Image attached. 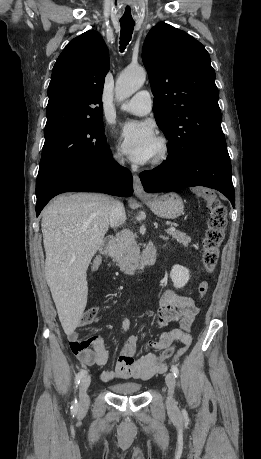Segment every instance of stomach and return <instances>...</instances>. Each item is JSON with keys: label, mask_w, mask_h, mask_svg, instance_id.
Here are the masks:
<instances>
[{"label": "stomach", "mask_w": 261, "mask_h": 459, "mask_svg": "<svg viewBox=\"0 0 261 459\" xmlns=\"http://www.w3.org/2000/svg\"><path fill=\"white\" fill-rule=\"evenodd\" d=\"M143 201L150 207L154 214L166 219H175L184 210L181 197L173 192L143 198Z\"/></svg>", "instance_id": "obj_1"}]
</instances>
